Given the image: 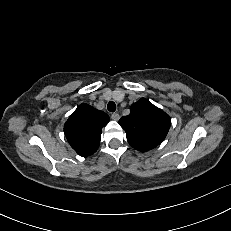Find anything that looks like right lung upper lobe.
<instances>
[{"mask_svg": "<svg viewBox=\"0 0 231 231\" xmlns=\"http://www.w3.org/2000/svg\"><path fill=\"white\" fill-rule=\"evenodd\" d=\"M109 116L88 104H80L64 125V133L71 147L83 157L96 152L102 128Z\"/></svg>", "mask_w": 231, "mask_h": 231, "instance_id": "1", "label": "right lung upper lobe"}]
</instances>
